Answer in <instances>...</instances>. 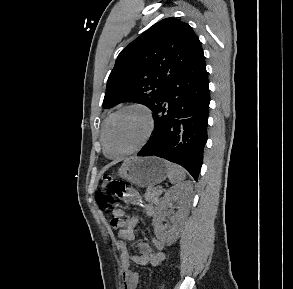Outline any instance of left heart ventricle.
Listing matches in <instances>:
<instances>
[{
	"label": "left heart ventricle",
	"instance_id": "b2bd125f",
	"mask_svg": "<svg viewBox=\"0 0 293 289\" xmlns=\"http://www.w3.org/2000/svg\"><path fill=\"white\" fill-rule=\"evenodd\" d=\"M146 131V119L139 110H127L118 115L107 131V150L119 155L134 148Z\"/></svg>",
	"mask_w": 293,
	"mask_h": 289
}]
</instances>
